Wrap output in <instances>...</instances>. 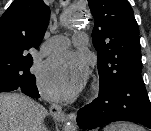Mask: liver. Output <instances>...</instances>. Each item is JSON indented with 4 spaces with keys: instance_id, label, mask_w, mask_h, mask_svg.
<instances>
[{
    "instance_id": "1",
    "label": "liver",
    "mask_w": 151,
    "mask_h": 131,
    "mask_svg": "<svg viewBox=\"0 0 151 131\" xmlns=\"http://www.w3.org/2000/svg\"><path fill=\"white\" fill-rule=\"evenodd\" d=\"M47 110L27 96L0 94V131H45Z\"/></svg>"
}]
</instances>
